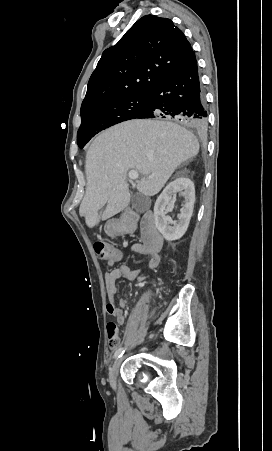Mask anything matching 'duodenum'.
I'll return each mask as SVG.
<instances>
[{
    "mask_svg": "<svg viewBox=\"0 0 272 451\" xmlns=\"http://www.w3.org/2000/svg\"><path fill=\"white\" fill-rule=\"evenodd\" d=\"M138 226L134 215H128L109 223L108 228L112 235L123 236L132 233ZM143 237V247L149 253H158L163 245V238L159 232L152 214H146L140 219Z\"/></svg>",
    "mask_w": 272,
    "mask_h": 451,
    "instance_id": "410a0bca",
    "label": "duodenum"
}]
</instances>
